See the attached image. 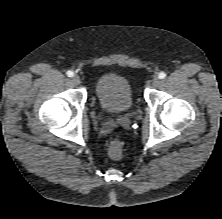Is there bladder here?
Masks as SVG:
<instances>
[{"label": "bladder", "mask_w": 222, "mask_h": 219, "mask_svg": "<svg viewBox=\"0 0 222 219\" xmlns=\"http://www.w3.org/2000/svg\"><path fill=\"white\" fill-rule=\"evenodd\" d=\"M94 90L100 108L108 114L124 115L133 106L129 80L123 74L108 72L100 76Z\"/></svg>", "instance_id": "31cf9c89"}]
</instances>
